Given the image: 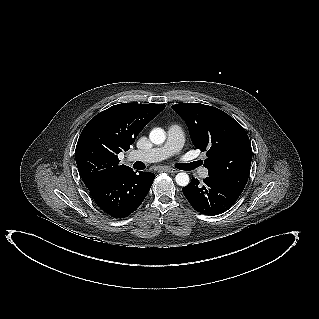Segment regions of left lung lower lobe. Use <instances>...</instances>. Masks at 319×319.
<instances>
[{
  "mask_svg": "<svg viewBox=\"0 0 319 319\" xmlns=\"http://www.w3.org/2000/svg\"><path fill=\"white\" fill-rule=\"evenodd\" d=\"M203 185L195 178L182 188L184 196L191 206L202 214L214 215L222 213L235 204L243 190L227 182L208 176Z\"/></svg>",
  "mask_w": 319,
  "mask_h": 319,
  "instance_id": "0a47b994",
  "label": "left lung lower lobe"
}]
</instances>
